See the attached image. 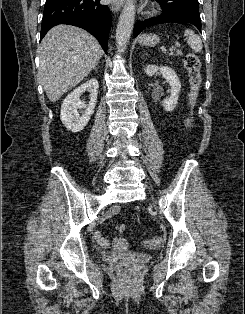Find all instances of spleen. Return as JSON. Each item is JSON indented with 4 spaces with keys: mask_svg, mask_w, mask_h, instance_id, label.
I'll return each instance as SVG.
<instances>
[{
    "mask_svg": "<svg viewBox=\"0 0 245 314\" xmlns=\"http://www.w3.org/2000/svg\"><path fill=\"white\" fill-rule=\"evenodd\" d=\"M184 36L187 38V43L193 51L200 52L203 48L201 38L196 35L191 29H186Z\"/></svg>",
    "mask_w": 245,
    "mask_h": 314,
    "instance_id": "1",
    "label": "spleen"
}]
</instances>
